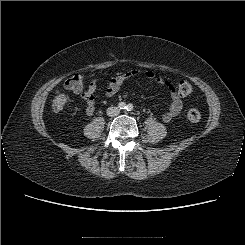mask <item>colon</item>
<instances>
[{"label":"colon","mask_w":245,"mask_h":245,"mask_svg":"<svg viewBox=\"0 0 245 245\" xmlns=\"http://www.w3.org/2000/svg\"><path fill=\"white\" fill-rule=\"evenodd\" d=\"M83 78L79 74L69 77L64 86L67 90L72 92H81L83 89ZM193 92V87L186 81H181L178 85V93L180 96H188ZM69 97L64 92H58L52 101V109L54 112L59 113L63 111L69 104ZM187 119L190 122H199L201 119V113L197 109H190L187 112Z\"/></svg>","instance_id":"colon-1"}]
</instances>
